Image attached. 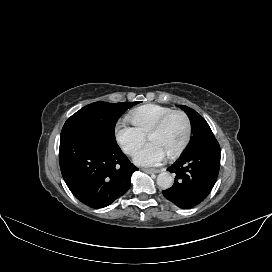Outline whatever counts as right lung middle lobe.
<instances>
[{"mask_svg": "<svg viewBox=\"0 0 272 272\" xmlns=\"http://www.w3.org/2000/svg\"><path fill=\"white\" fill-rule=\"evenodd\" d=\"M138 103L139 102H95L89 104L68 118L63 129L69 127H82L96 131L104 137L116 141L114 130L118 118L128 108Z\"/></svg>", "mask_w": 272, "mask_h": 272, "instance_id": "obj_1", "label": "right lung middle lobe"}]
</instances>
